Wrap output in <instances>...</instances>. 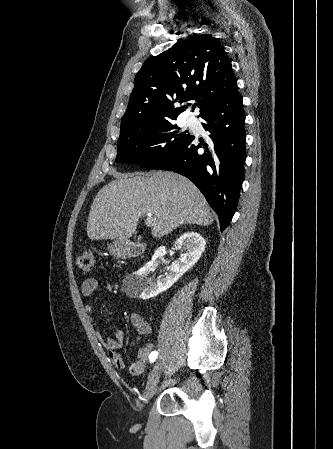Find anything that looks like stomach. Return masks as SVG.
Wrapping results in <instances>:
<instances>
[{"label":"stomach","instance_id":"0dacf381","mask_svg":"<svg viewBox=\"0 0 333 449\" xmlns=\"http://www.w3.org/2000/svg\"><path fill=\"white\" fill-rule=\"evenodd\" d=\"M108 251L110 252V254L116 257H121L122 255L125 254V250L120 241H115L112 244H110L108 246Z\"/></svg>","mask_w":333,"mask_h":449}]
</instances>
